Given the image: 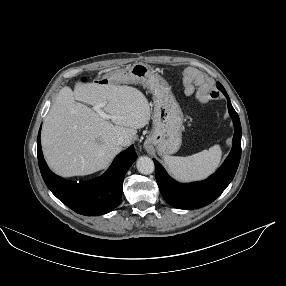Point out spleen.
I'll use <instances>...</instances> for the list:
<instances>
[{"label":"spleen","instance_id":"obj_1","mask_svg":"<svg viewBox=\"0 0 286 286\" xmlns=\"http://www.w3.org/2000/svg\"><path fill=\"white\" fill-rule=\"evenodd\" d=\"M222 150L219 145H214L209 150H203L187 157H163L168 171L178 180L183 182L206 179L215 172L220 164Z\"/></svg>","mask_w":286,"mask_h":286}]
</instances>
